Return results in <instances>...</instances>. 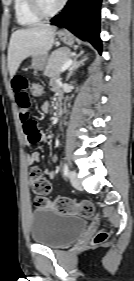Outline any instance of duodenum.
Returning a JSON list of instances; mask_svg holds the SVG:
<instances>
[{"mask_svg": "<svg viewBox=\"0 0 134 281\" xmlns=\"http://www.w3.org/2000/svg\"><path fill=\"white\" fill-rule=\"evenodd\" d=\"M56 108L59 112L64 111L63 102H62V99L60 97L56 101Z\"/></svg>", "mask_w": 134, "mask_h": 281, "instance_id": "1", "label": "duodenum"}]
</instances>
